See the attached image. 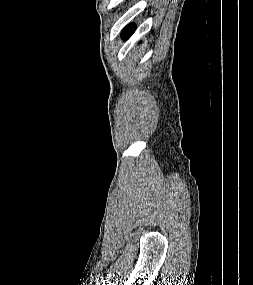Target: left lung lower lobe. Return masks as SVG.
I'll return each instance as SVG.
<instances>
[{"mask_svg": "<svg viewBox=\"0 0 253 285\" xmlns=\"http://www.w3.org/2000/svg\"><path fill=\"white\" fill-rule=\"evenodd\" d=\"M136 29V26L133 24H129L128 26H126L123 31H122V38L124 40L128 39L134 32V30Z\"/></svg>", "mask_w": 253, "mask_h": 285, "instance_id": "obj_1", "label": "left lung lower lobe"}]
</instances>
